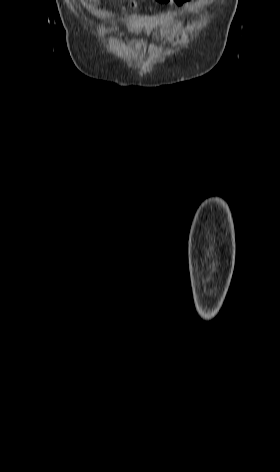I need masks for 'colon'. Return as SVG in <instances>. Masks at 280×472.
<instances>
[{
  "label": "colon",
  "instance_id": "5ec220e1",
  "mask_svg": "<svg viewBox=\"0 0 280 472\" xmlns=\"http://www.w3.org/2000/svg\"><path fill=\"white\" fill-rule=\"evenodd\" d=\"M156 2L158 3H161V4H168V3H171V2H179V0H155Z\"/></svg>",
  "mask_w": 280,
  "mask_h": 472
}]
</instances>
